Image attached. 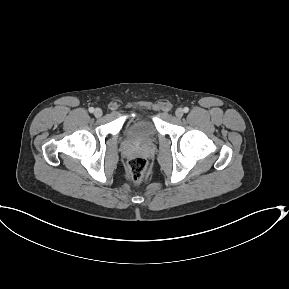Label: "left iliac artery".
<instances>
[{
	"label": "left iliac artery",
	"mask_w": 289,
	"mask_h": 289,
	"mask_svg": "<svg viewBox=\"0 0 289 289\" xmlns=\"http://www.w3.org/2000/svg\"><path fill=\"white\" fill-rule=\"evenodd\" d=\"M183 111H184L185 113H187V112L189 111V108H188V107H184Z\"/></svg>",
	"instance_id": "left-iliac-artery-1"
}]
</instances>
